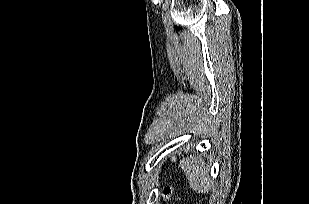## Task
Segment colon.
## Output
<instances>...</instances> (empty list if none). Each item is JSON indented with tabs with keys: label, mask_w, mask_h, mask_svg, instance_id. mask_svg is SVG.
I'll use <instances>...</instances> for the list:
<instances>
[{
	"label": "colon",
	"mask_w": 309,
	"mask_h": 204,
	"mask_svg": "<svg viewBox=\"0 0 309 204\" xmlns=\"http://www.w3.org/2000/svg\"><path fill=\"white\" fill-rule=\"evenodd\" d=\"M162 193L167 202L174 200L177 196V191L173 187H165Z\"/></svg>",
	"instance_id": "5ec220e1"
}]
</instances>
